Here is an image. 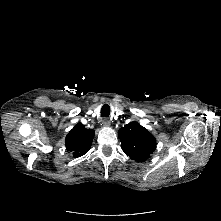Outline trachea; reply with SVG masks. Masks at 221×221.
I'll use <instances>...</instances> for the list:
<instances>
[{"mask_svg":"<svg viewBox=\"0 0 221 221\" xmlns=\"http://www.w3.org/2000/svg\"><path fill=\"white\" fill-rule=\"evenodd\" d=\"M110 115V106L108 104H104L101 108V116L109 117Z\"/></svg>","mask_w":221,"mask_h":221,"instance_id":"obj_1","label":"trachea"}]
</instances>
